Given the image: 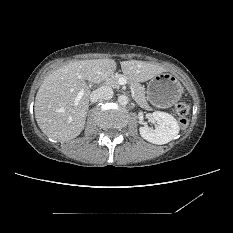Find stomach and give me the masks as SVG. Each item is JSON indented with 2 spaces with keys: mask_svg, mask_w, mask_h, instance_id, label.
I'll return each mask as SVG.
<instances>
[{
  "mask_svg": "<svg viewBox=\"0 0 233 233\" xmlns=\"http://www.w3.org/2000/svg\"><path fill=\"white\" fill-rule=\"evenodd\" d=\"M182 91V86L174 75L159 73L151 78L147 97L153 105L170 107L181 98Z\"/></svg>",
  "mask_w": 233,
  "mask_h": 233,
  "instance_id": "0dacf381",
  "label": "stomach"
}]
</instances>
